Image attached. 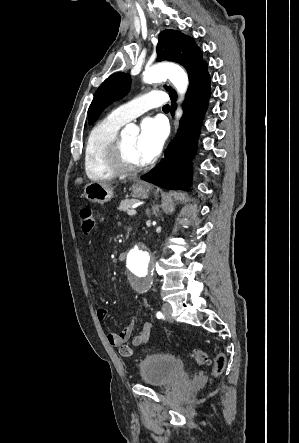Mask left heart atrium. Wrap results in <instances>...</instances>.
I'll return each mask as SVG.
<instances>
[{
  "label": "left heart atrium",
  "instance_id": "left-heart-atrium-1",
  "mask_svg": "<svg viewBox=\"0 0 299 443\" xmlns=\"http://www.w3.org/2000/svg\"><path fill=\"white\" fill-rule=\"evenodd\" d=\"M165 137V128L158 117H148L142 121L137 141V151L143 164L152 162L159 154Z\"/></svg>",
  "mask_w": 299,
  "mask_h": 443
}]
</instances>
